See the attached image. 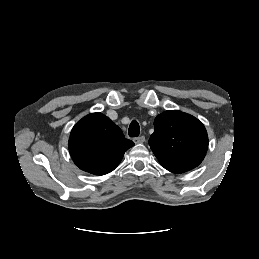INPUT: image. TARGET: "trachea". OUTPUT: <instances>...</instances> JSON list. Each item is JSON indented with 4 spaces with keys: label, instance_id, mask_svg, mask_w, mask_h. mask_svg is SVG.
<instances>
[{
    "label": "trachea",
    "instance_id": "1",
    "mask_svg": "<svg viewBox=\"0 0 259 259\" xmlns=\"http://www.w3.org/2000/svg\"><path fill=\"white\" fill-rule=\"evenodd\" d=\"M128 134L130 137H138L140 134V126L136 120H133L129 126Z\"/></svg>",
    "mask_w": 259,
    "mask_h": 259
}]
</instances>
